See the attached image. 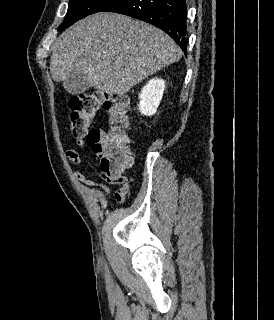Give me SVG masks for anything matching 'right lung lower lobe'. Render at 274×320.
Wrapping results in <instances>:
<instances>
[{
  "label": "right lung lower lobe",
  "instance_id": "1",
  "mask_svg": "<svg viewBox=\"0 0 274 320\" xmlns=\"http://www.w3.org/2000/svg\"><path fill=\"white\" fill-rule=\"evenodd\" d=\"M101 12H115L162 29L186 53V0H116Z\"/></svg>",
  "mask_w": 274,
  "mask_h": 320
}]
</instances>
